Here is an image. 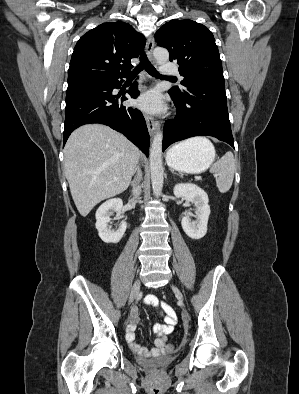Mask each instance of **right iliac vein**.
I'll list each match as a JSON object with an SVG mask.
<instances>
[{
	"label": "right iliac vein",
	"mask_w": 299,
	"mask_h": 394,
	"mask_svg": "<svg viewBox=\"0 0 299 394\" xmlns=\"http://www.w3.org/2000/svg\"><path fill=\"white\" fill-rule=\"evenodd\" d=\"M139 290H140V281L136 280L130 292L129 304H131L134 301V299L137 297V295L139 294Z\"/></svg>",
	"instance_id": "63e3f726"
}]
</instances>
